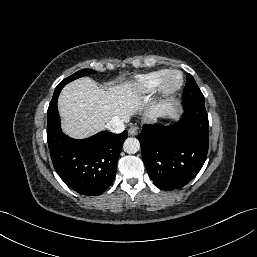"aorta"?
Segmentation results:
<instances>
[{
  "label": "aorta",
  "instance_id": "1",
  "mask_svg": "<svg viewBox=\"0 0 257 257\" xmlns=\"http://www.w3.org/2000/svg\"><path fill=\"white\" fill-rule=\"evenodd\" d=\"M123 149L126 153L135 154L140 149L139 140L136 138H127L123 144Z\"/></svg>",
  "mask_w": 257,
  "mask_h": 257
}]
</instances>
